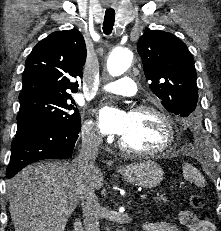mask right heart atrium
Here are the masks:
<instances>
[{"instance_id":"1","label":"right heart atrium","mask_w":221,"mask_h":231,"mask_svg":"<svg viewBox=\"0 0 221 231\" xmlns=\"http://www.w3.org/2000/svg\"><path fill=\"white\" fill-rule=\"evenodd\" d=\"M82 138L89 143L98 144L101 140V135L90 121L85 122L82 126Z\"/></svg>"}]
</instances>
